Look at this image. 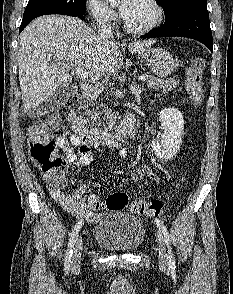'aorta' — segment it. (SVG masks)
<instances>
[{
    "instance_id": "aorta-1",
    "label": "aorta",
    "mask_w": 233,
    "mask_h": 294,
    "mask_svg": "<svg viewBox=\"0 0 233 294\" xmlns=\"http://www.w3.org/2000/svg\"><path fill=\"white\" fill-rule=\"evenodd\" d=\"M109 1H111V2H112V1H114V0H109ZM115 137H119V136H118V134H115Z\"/></svg>"
}]
</instances>
